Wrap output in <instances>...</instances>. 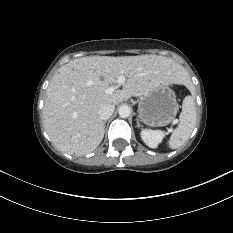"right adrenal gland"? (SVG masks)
Wrapping results in <instances>:
<instances>
[{
  "instance_id": "obj_1",
  "label": "right adrenal gland",
  "mask_w": 233,
  "mask_h": 233,
  "mask_svg": "<svg viewBox=\"0 0 233 233\" xmlns=\"http://www.w3.org/2000/svg\"><path fill=\"white\" fill-rule=\"evenodd\" d=\"M105 125H106V121L104 122V127H105Z\"/></svg>"
}]
</instances>
